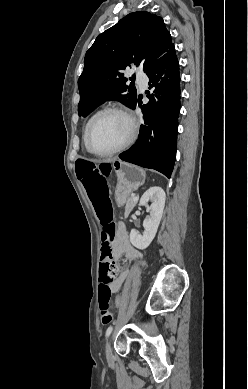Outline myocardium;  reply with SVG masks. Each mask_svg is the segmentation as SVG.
Masks as SVG:
<instances>
[{
  "label": "myocardium",
  "instance_id": "myocardium-1",
  "mask_svg": "<svg viewBox=\"0 0 248 389\" xmlns=\"http://www.w3.org/2000/svg\"><path fill=\"white\" fill-rule=\"evenodd\" d=\"M108 113H117V114L122 115L128 121L130 131H129V134H128L127 138L125 139V141L123 143H121L119 146H117L116 148L109 150V151H106V152H98V151L91 149V147L89 146V133H90V130H91V127L93 126V124L101 116L108 114ZM137 134H138V124H137L136 119L133 117V115L122 106L111 105V106H107V107L103 108L102 110L98 111L90 119V121L88 122L86 129H85L84 143H85L87 150L90 153H92L96 156H100V157H107V156H112L114 154H117V153L123 151L124 149H126L128 146H130L134 142V140L136 139Z\"/></svg>",
  "mask_w": 248,
  "mask_h": 389
}]
</instances>
